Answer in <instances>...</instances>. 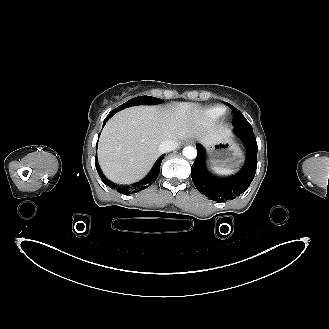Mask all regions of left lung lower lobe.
<instances>
[{
  "instance_id": "left-lung-lower-lobe-1",
  "label": "left lung lower lobe",
  "mask_w": 329,
  "mask_h": 329,
  "mask_svg": "<svg viewBox=\"0 0 329 329\" xmlns=\"http://www.w3.org/2000/svg\"><path fill=\"white\" fill-rule=\"evenodd\" d=\"M235 133L242 139L247 160L241 170L230 178L212 176L205 167L200 147L191 168L193 183L198 191L214 201L233 200L245 192L254 179L257 168V142L250 123L234 126Z\"/></svg>"
}]
</instances>
